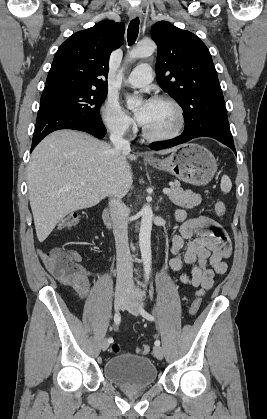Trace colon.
Returning a JSON list of instances; mask_svg holds the SVG:
<instances>
[{"label":"colon","mask_w":267,"mask_h":419,"mask_svg":"<svg viewBox=\"0 0 267 419\" xmlns=\"http://www.w3.org/2000/svg\"><path fill=\"white\" fill-rule=\"evenodd\" d=\"M215 214L222 217L226 214V206L223 202L218 201L214 206ZM81 220V215L78 212L67 214L59 223L60 229H68L76 226ZM51 269L61 277H75L82 273L83 268L79 264L80 256L74 250H65L62 248H53L46 254ZM201 306V299L195 298L190 306V314L195 315ZM112 351L119 352V345L113 344ZM150 346L142 344L138 347V352L141 354H148Z\"/></svg>","instance_id":"1"}]
</instances>
